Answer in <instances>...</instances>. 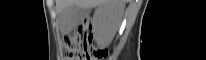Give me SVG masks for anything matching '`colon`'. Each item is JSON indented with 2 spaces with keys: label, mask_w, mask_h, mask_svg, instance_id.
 Listing matches in <instances>:
<instances>
[{
  "label": "colon",
  "mask_w": 206,
  "mask_h": 60,
  "mask_svg": "<svg viewBox=\"0 0 206 60\" xmlns=\"http://www.w3.org/2000/svg\"><path fill=\"white\" fill-rule=\"evenodd\" d=\"M62 53L65 60H100L107 56L106 50L93 45L87 21L79 24L72 35L65 36Z\"/></svg>",
  "instance_id": "colon-1"
}]
</instances>
